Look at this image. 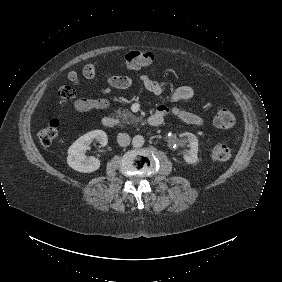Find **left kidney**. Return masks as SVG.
<instances>
[{
	"mask_svg": "<svg viewBox=\"0 0 282 282\" xmlns=\"http://www.w3.org/2000/svg\"><path fill=\"white\" fill-rule=\"evenodd\" d=\"M189 141L188 150L184 153L183 160L187 165L195 166L199 163L198 148L199 142L196 136L192 133L185 132L183 134ZM175 162H179L178 158H174Z\"/></svg>",
	"mask_w": 282,
	"mask_h": 282,
	"instance_id": "5707ae66",
	"label": "left kidney"
}]
</instances>
